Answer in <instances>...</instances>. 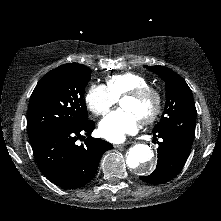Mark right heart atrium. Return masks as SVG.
I'll return each instance as SVG.
<instances>
[{
    "instance_id": "right-heart-atrium-1",
    "label": "right heart atrium",
    "mask_w": 221,
    "mask_h": 221,
    "mask_svg": "<svg viewBox=\"0 0 221 221\" xmlns=\"http://www.w3.org/2000/svg\"><path fill=\"white\" fill-rule=\"evenodd\" d=\"M117 99L110 93L105 85H92L85 96L88 109L95 115L106 114L116 103Z\"/></svg>"
}]
</instances>
